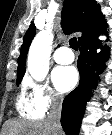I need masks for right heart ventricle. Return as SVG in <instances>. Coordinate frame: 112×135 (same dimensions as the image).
Segmentation results:
<instances>
[{
  "instance_id": "e07e8e85",
  "label": "right heart ventricle",
  "mask_w": 112,
  "mask_h": 135,
  "mask_svg": "<svg viewBox=\"0 0 112 135\" xmlns=\"http://www.w3.org/2000/svg\"><path fill=\"white\" fill-rule=\"evenodd\" d=\"M16 107L22 117L38 120L43 118L44 114L39 111L32 103L30 96L24 89L21 90L17 97Z\"/></svg>"
}]
</instances>
